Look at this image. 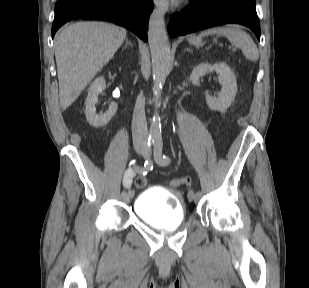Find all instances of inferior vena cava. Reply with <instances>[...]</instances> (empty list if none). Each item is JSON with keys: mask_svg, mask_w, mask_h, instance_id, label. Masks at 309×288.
Here are the masks:
<instances>
[{"mask_svg": "<svg viewBox=\"0 0 309 288\" xmlns=\"http://www.w3.org/2000/svg\"><path fill=\"white\" fill-rule=\"evenodd\" d=\"M132 136L135 145H146L148 130L145 116V102L140 94L136 100L132 119Z\"/></svg>", "mask_w": 309, "mask_h": 288, "instance_id": "1", "label": "inferior vena cava"}]
</instances>
